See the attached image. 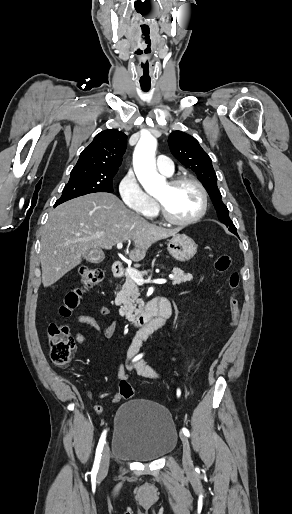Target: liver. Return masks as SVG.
<instances>
[{"instance_id": "obj_1", "label": "liver", "mask_w": 292, "mask_h": 514, "mask_svg": "<svg viewBox=\"0 0 292 514\" xmlns=\"http://www.w3.org/2000/svg\"><path fill=\"white\" fill-rule=\"evenodd\" d=\"M180 228L167 230L127 210L113 194L97 192L69 200L50 210L42 230L40 262L44 288L52 286L79 266L90 250H111L124 240H133L129 258L140 262L152 244L176 236Z\"/></svg>"}]
</instances>
